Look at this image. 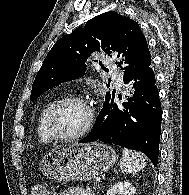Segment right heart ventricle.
Wrapping results in <instances>:
<instances>
[{
    "mask_svg": "<svg viewBox=\"0 0 189 195\" xmlns=\"http://www.w3.org/2000/svg\"><path fill=\"white\" fill-rule=\"evenodd\" d=\"M60 99H62L61 96H54L53 98H51L43 107V109L40 111L37 117L36 131H37L38 138L41 142L47 143L53 140L49 135V133L47 132L45 120L51 107Z\"/></svg>",
    "mask_w": 189,
    "mask_h": 195,
    "instance_id": "obj_1",
    "label": "right heart ventricle"
}]
</instances>
